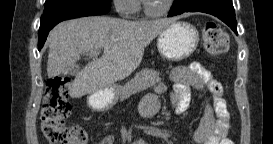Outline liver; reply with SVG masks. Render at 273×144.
<instances>
[{
  "label": "liver",
  "mask_w": 273,
  "mask_h": 144,
  "mask_svg": "<svg viewBox=\"0 0 273 144\" xmlns=\"http://www.w3.org/2000/svg\"><path fill=\"white\" fill-rule=\"evenodd\" d=\"M176 19L129 21L92 16L64 21L48 35L47 74H68L82 54L103 49L76 76L69 94L79 98L106 89L128 77L141 63L144 48Z\"/></svg>",
  "instance_id": "liver-1"
}]
</instances>
